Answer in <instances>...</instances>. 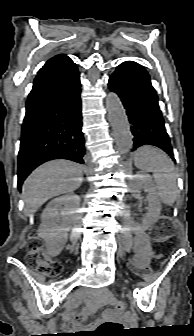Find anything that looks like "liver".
<instances>
[{"label": "liver", "mask_w": 194, "mask_h": 336, "mask_svg": "<svg viewBox=\"0 0 194 336\" xmlns=\"http://www.w3.org/2000/svg\"><path fill=\"white\" fill-rule=\"evenodd\" d=\"M82 176V166L69 160H52L36 168L22 188L26 215L36 212L50 198L78 189Z\"/></svg>", "instance_id": "liver-1"}]
</instances>
